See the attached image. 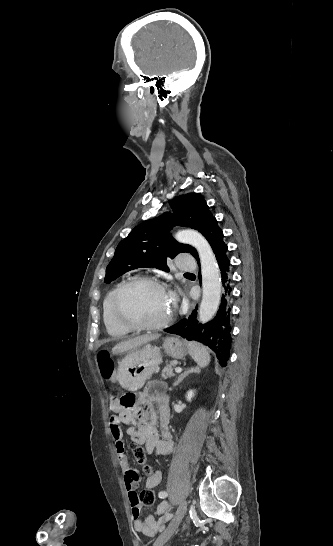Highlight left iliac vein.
Segmentation results:
<instances>
[{
    "instance_id": "obj_1",
    "label": "left iliac vein",
    "mask_w": 333,
    "mask_h": 546,
    "mask_svg": "<svg viewBox=\"0 0 333 546\" xmlns=\"http://www.w3.org/2000/svg\"><path fill=\"white\" fill-rule=\"evenodd\" d=\"M186 510H187V501L186 500H183L171 522L169 523L168 527L164 530V532L156 539L155 543H154V546H163L165 544V542L174 534V532L177 530L178 526L180 525L185 513H186Z\"/></svg>"
}]
</instances>
